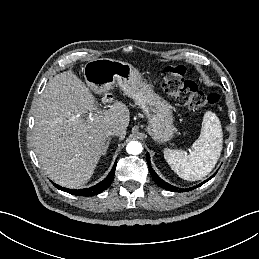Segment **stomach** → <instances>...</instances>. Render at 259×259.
<instances>
[{
  "mask_svg": "<svg viewBox=\"0 0 259 259\" xmlns=\"http://www.w3.org/2000/svg\"><path fill=\"white\" fill-rule=\"evenodd\" d=\"M83 73L88 86L95 91H106L117 82L146 116L147 132L156 143L173 138L175 126L171 106L153 91L134 66L115 59L97 58L85 64Z\"/></svg>",
  "mask_w": 259,
  "mask_h": 259,
  "instance_id": "1",
  "label": "stomach"
}]
</instances>
